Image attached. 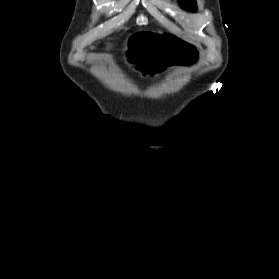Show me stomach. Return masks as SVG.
<instances>
[{
    "label": "stomach",
    "mask_w": 279,
    "mask_h": 279,
    "mask_svg": "<svg viewBox=\"0 0 279 279\" xmlns=\"http://www.w3.org/2000/svg\"><path fill=\"white\" fill-rule=\"evenodd\" d=\"M176 34H168L166 30H133L129 34L126 44L129 49H188V50H126L122 54V59H136V66H139V79H150V75L155 78H172V73H159V70L151 69H185V64H165L181 63L185 59L187 63H193L198 59V50L194 44H182V39H176ZM154 63V64H151Z\"/></svg>",
    "instance_id": "1"
}]
</instances>
